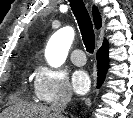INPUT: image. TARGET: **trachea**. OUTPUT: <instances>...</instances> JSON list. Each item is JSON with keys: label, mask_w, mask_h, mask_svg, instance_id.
Masks as SVG:
<instances>
[{"label": "trachea", "mask_w": 133, "mask_h": 118, "mask_svg": "<svg viewBox=\"0 0 133 118\" xmlns=\"http://www.w3.org/2000/svg\"><path fill=\"white\" fill-rule=\"evenodd\" d=\"M70 6L78 22L84 45L89 53H93L95 34L89 13L82 0H70Z\"/></svg>", "instance_id": "3493384b"}]
</instances>
